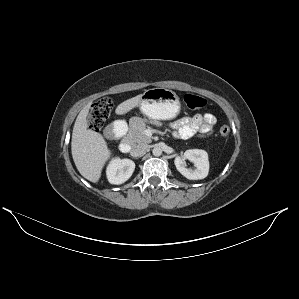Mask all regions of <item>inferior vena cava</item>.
Segmentation results:
<instances>
[{"instance_id":"obj_1","label":"inferior vena cava","mask_w":299,"mask_h":299,"mask_svg":"<svg viewBox=\"0 0 299 299\" xmlns=\"http://www.w3.org/2000/svg\"><path fill=\"white\" fill-rule=\"evenodd\" d=\"M148 150V145L147 144H138L131 150V155L132 156H141L143 155L146 151Z\"/></svg>"}]
</instances>
